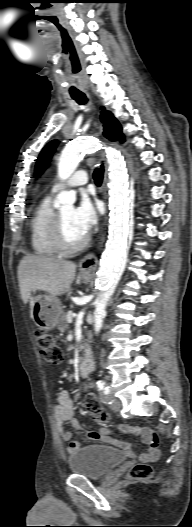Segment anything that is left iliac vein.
<instances>
[{
    "label": "left iliac vein",
    "instance_id": "4c4485c4",
    "mask_svg": "<svg viewBox=\"0 0 192 527\" xmlns=\"http://www.w3.org/2000/svg\"><path fill=\"white\" fill-rule=\"evenodd\" d=\"M109 404H110L111 410H113L114 412H117L121 409V402L118 399L110 398Z\"/></svg>",
    "mask_w": 192,
    "mask_h": 527
}]
</instances>
